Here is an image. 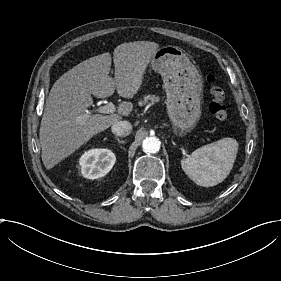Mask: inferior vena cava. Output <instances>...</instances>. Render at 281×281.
Instances as JSON below:
<instances>
[{
	"instance_id": "obj_1",
	"label": "inferior vena cava",
	"mask_w": 281,
	"mask_h": 281,
	"mask_svg": "<svg viewBox=\"0 0 281 281\" xmlns=\"http://www.w3.org/2000/svg\"><path fill=\"white\" fill-rule=\"evenodd\" d=\"M112 133L117 136H128L132 131V125L128 121H118L111 127Z\"/></svg>"
}]
</instances>
